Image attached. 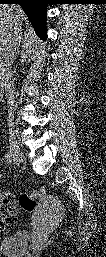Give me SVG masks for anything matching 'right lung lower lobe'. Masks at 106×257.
<instances>
[{"mask_svg": "<svg viewBox=\"0 0 106 257\" xmlns=\"http://www.w3.org/2000/svg\"><path fill=\"white\" fill-rule=\"evenodd\" d=\"M1 4H20L36 34L43 40L46 39V5L47 0H0Z\"/></svg>", "mask_w": 106, "mask_h": 257, "instance_id": "right-lung-lower-lobe-1", "label": "right lung lower lobe"}]
</instances>
